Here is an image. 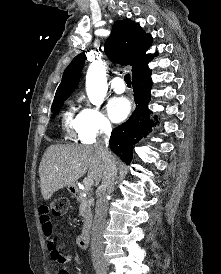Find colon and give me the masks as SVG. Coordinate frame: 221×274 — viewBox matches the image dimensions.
Listing matches in <instances>:
<instances>
[{
	"instance_id": "1",
	"label": "colon",
	"mask_w": 221,
	"mask_h": 274,
	"mask_svg": "<svg viewBox=\"0 0 221 274\" xmlns=\"http://www.w3.org/2000/svg\"><path fill=\"white\" fill-rule=\"evenodd\" d=\"M67 205L68 202L66 198L58 197L51 201L48 209L54 216H61L66 212Z\"/></svg>"
}]
</instances>
